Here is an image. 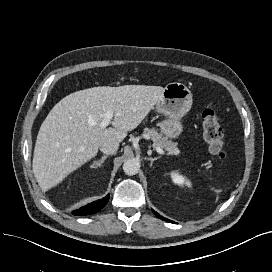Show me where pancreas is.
I'll use <instances>...</instances> for the list:
<instances>
[{
	"instance_id": "1",
	"label": "pancreas",
	"mask_w": 272,
	"mask_h": 272,
	"mask_svg": "<svg viewBox=\"0 0 272 272\" xmlns=\"http://www.w3.org/2000/svg\"><path fill=\"white\" fill-rule=\"evenodd\" d=\"M144 133L151 138L154 148L160 147L166 150L170 155L180 154V150L177 148V144L171 140H168V138L164 137L161 133H158L155 128H145Z\"/></svg>"
}]
</instances>
